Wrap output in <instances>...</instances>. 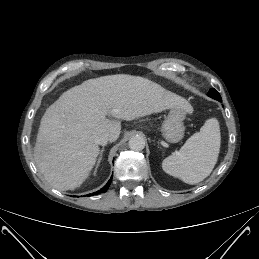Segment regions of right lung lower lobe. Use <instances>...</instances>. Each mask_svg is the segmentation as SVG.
I'll return each mask as SVG.
<instances>
[{
	"instance_id": "98d812e1",
	"label": "right lung lower lobe",
	"mask_w": 259,
	"mask_h": 259,
	"mask_svg": "<svg viewBox=\"0 0 259 259\" xmlns=\"http://www.w3.org/2000/svg\"><path fill=\"white\" fill-rule=\"evenodd\" d=\"M111 181H112V177L110 178V180L108 181V183L105 185V187H103L101 190H99L97 193H104V192H106L107 191V189H108V187L110 186V184H111ZM89 195H91V194H89ZM88 195V196H89ZM94 194H92V196H93Z\"/></svg>"
}]
</instances>
